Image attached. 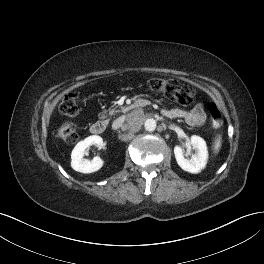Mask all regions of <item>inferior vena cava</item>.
I'll list each match as a JSON object with an SVG mask.
<instances>
[{
  "mask_svg": "<svg viewBox=\"0 0 264 264\" xmlns=\"http://www.w3.org/2000/svg\"><path fill=\"white\" fill-rule=\"evenodd\" d=\"M124 119L123 118H118L116 119L113 124H112V128L113 129H118L119 127H122V125L124 124Z\"/></svg>",
  "mask_w": 264,
  "mask_h": 264,
  "instance_id": "602c4592",
  "label": "inferior vena cava"
}]
</instances>
